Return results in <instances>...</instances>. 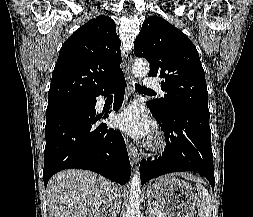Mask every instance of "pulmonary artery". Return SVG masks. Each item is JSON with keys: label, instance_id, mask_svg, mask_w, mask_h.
<instances>
[{"label": "pulmonary artery", "instance_id": "pulmonary-artery-1", "mask_svg": "<svg viewBox=\"0 0 253 217\" xmlns=\"http://www.w3.org/2000/svg\"><path fill=\"white\" fill-rule=\"evenodd\" d=\"M144 83H145V86L149 90L158 91L160 93H163L162 90H161L160 84L157 81H155L151 78H146Z\"/></svg>", "mask_w": 253, "mask_h": 217}]
</instances>
